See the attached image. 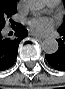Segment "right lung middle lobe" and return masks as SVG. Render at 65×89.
Instances as JSON below:
<instances>
[{
	"instance_id": "right-lung-middle-lobe-1",
	"label": "right lung middle lobe",
	"mask_w": 65,
	"mask_h": 89,
	"mask_svg": "<svg viewBox=\"0 0 65 89\" xmlns=\"http://www.w3.org/2000/svg\"><path fill=\"white\" fill-rule=\"evenodd\" d=\"M17 10V1L13 0H0V29L5 26L6 21H13L10 19L12 14Z\"/></svg>"
}]
</instances>
